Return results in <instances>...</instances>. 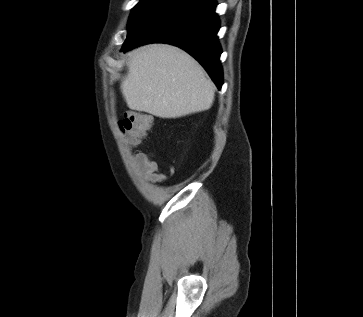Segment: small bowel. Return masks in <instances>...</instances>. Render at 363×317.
Segmentation results:
<instances>
[{"instance_id": "small-bowel-1", "label": "small bowel", "mask_w": 363, "mask_h": 317, "mask_svg": "<svg viewBox=\"0 0 363 317\" xmlns=\"http://www.w3.org/2000/svg\"><path fill=\"white\" fill-rule=\"evenodd\" d=\"M137 165L144 170L145 177L148 181L153 183H162L166 181V176L157 171V166L153 161H150L144 154L136 156Z\"/></svg>"}]
</instances>
